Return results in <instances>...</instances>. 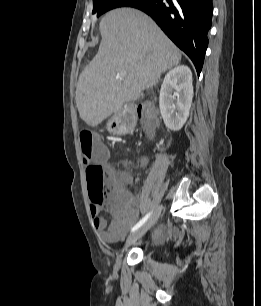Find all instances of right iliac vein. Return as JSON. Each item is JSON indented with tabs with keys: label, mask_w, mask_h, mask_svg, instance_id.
Returning <instances> with one entry per match:
<instances>
[{
	"label": "right iliac vein",
	"mask_w": 261,
	"mask_h": 306,
	"mask_svg": "<svg viewBox=\"0 0 261 306\" xmlns=\"http://www.w3.org/2000/svg\"><path fill=\"white\" fill-rule=\"evenodd\" d=\"M160 215V211L157 210L140 228L135 230L131 235L128 236L126 239V242L123 246V248L117 253L116 256V268H119L121 265V257L122 253L134 242H136L138 239H140L156 222Z\"/></svg>",
	"instance_id": "obj_1"
}]
</instances>
